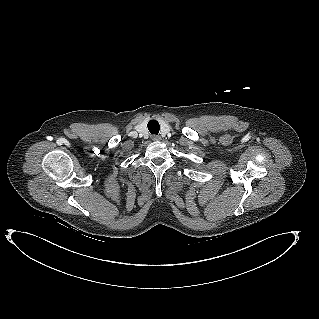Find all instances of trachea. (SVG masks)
<instances>
[{"mask_svg":"<svg viewBox=\"0 0 319 319\" xmlns=\"http://www.w3.org/2000/svg\"><path fill=\"white\" fill-rule=\"evenodd\" d=\"M147 127H148L151 134L158 135L159 130H160V125H159L158 121L150 120L147 124Z\"/></svg>","mask_w":319,"mask_h":319,"instance_id":"1","label":"trachea"}]
</instances>
